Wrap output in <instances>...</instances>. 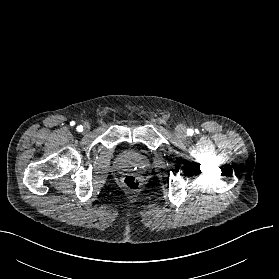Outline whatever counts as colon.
I'll list each match as a JSON object with an SVG mask.
<instances>
[{
	"label": "colon",
	"instance_id": "obj_1",
	"mask_svg": "<svg viewBox=\"0 0 279 279\" xmlns=\"http://www.w3.org/2000/svg\"><path fill=\"white\" fill-rule=\"evenodd\" d=\"M122 185L129 190H136L141 186V178L137 175H127L121 180Z\"/></svg>",
	"mask_w": 279,
	"mask_h": 279
}]
</instances>
